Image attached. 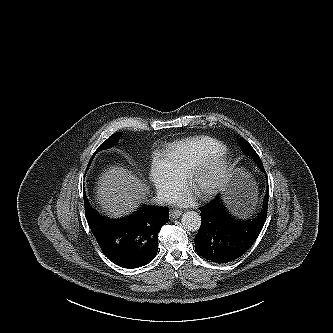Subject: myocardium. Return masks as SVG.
<instances>
[{
  "label": "myocardium",
  "instance_id": "myocardium-1",
  "mask_svg": "<svg viewBox=\"0 0 333 333\" xmlns=\"http://www.w3.org/2000/svg\"><path fill=\"white\" fill-rule=\"evenodd\" d=\"M213 171L214 180L208 188L195 192L200 199H208L218 194L231 176V159L227 149L215 152L197 162L184 176L185 185L191 189L194 181L203 173Z\"/></svg>",
  "mask_w": 333,
  "mask_h": 333
}]
</instances>
